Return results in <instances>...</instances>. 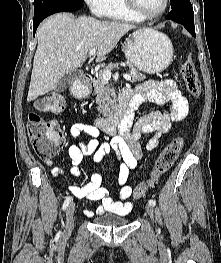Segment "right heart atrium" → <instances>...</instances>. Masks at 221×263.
<instances>
[{
    "label": "right heart atrium",
    "instance_id": "d8ad5b80",
    "mask_svg": "<svg viewBox=\"0 0 221 263\" xmlns=\"http://www.w3.org/2000/svg\"><path fill=\"white\" fill-rule=\"evenodd\" d=\"M90 11L96 16H103L106 13L109 0H84Z\"/></svg>",
    "mask_w": 221,
    "mask_h": 263
}]
</instances>
